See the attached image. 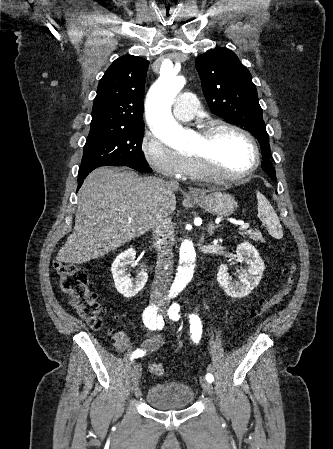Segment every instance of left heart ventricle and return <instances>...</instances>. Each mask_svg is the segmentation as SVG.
Listing matches in <instances>:
<instances>
[{
	"label": "left heart ventricle",
	"mask_w": 333,
	"mask_h": 449,
	"mask_svg": "<svg viewBox=\"0 0 333 449\" xmlns=\"http://www.w3.org/2000/svg\"><path fill=\"white\" fill-rule=\"evenodd\" d=\"M189 153L205 155L209 167L222 175L242 172L254 162L250 143L230 130H220L207 140L197 135Z\"/></svg>",
	"instance_id": "1"
}]
</instances>
